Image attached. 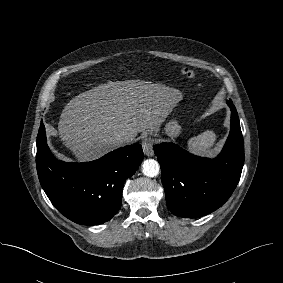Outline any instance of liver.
I'll list each match as a JSON object with an SVG mask.
<instances>
[{
  "label": "liver",
  "instance_id": "liver-1",
  "mask_svg": "<svg viewBox=\"0 0 283 283\" xmlns=\"http://www.w3.org/2000/svg\"><path fill=\"white\" fill-rule=\"evenodd\" d=\"M182 100L178 89L144 80L109 81L71 99L58 123L60 140L79 162L116 149L118 135L159 131Z\"/></svg>",
  "mask_w": 283,
  "mask_h": 283
}]
</instances>
